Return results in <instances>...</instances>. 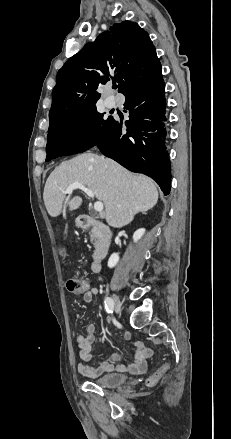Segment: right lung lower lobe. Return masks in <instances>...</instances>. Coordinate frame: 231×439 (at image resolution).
<instances>
[{
  "label": "right lung lower lobe",
  "mask_w": 231,
  "mask_h": 439,
  "mask_svg": "<svg viewBox=\"0 0 231 439\" xmlns=\"http://www.w3.org/2000/svg\"><path fill=\"white\" fill-rule=\"evenodd\" d=\"M129 111L122 132V122L112 124L94 145L107 157L130 171L153 178L165 195L171 188V168L165 147V85L162 75L125 96Z\"/></svg>",
  "instance_id": "98d812e1"
}]
</instances>
